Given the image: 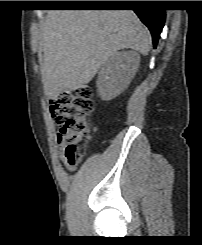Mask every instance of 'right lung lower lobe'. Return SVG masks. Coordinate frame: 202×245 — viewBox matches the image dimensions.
Here are the masks:
<instances>
[{"label":"right lung lower lobe","instance_id":"98d812e1","mask_svg":"<svg viewBox=\"0 0 202 245\" xmlns=\"http://www.w3.org/2000/svg\"><path fill=\"white\" fill-rule=\"evenodd\" d=\"M81 6H108L100 3H83ZM133 11L148 27L152 34L154 48H156L160 33L165 23V10L151 7L150 1H135Z\"/></svg>","mask_w":202,"mask_h":245}]
</instances>
